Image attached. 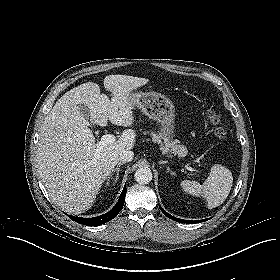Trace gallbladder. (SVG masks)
<instances>
[{
	"label": "gallbladder",
	"mask_w": 280,
	"mask_h": 280,
	"mask_svg": "<svg viewBox=\"0 0 280 280\" xmlns=\"http://www.w3.org/2000/svg\"><path fill=\"white\" fill-rule=\"evenodd\" d=\"M79 111L82 113V115L87 119V120H91L90 117V112L89 109L85 106V105H78Z\"/></svg>",
	"instance_id": "obj_1"
}]
</instances>
